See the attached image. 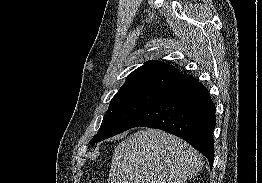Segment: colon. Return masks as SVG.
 Listing matches in <instances>:
<instances>
[{"instance_id": "5ec220e1", "label": "colon", "mask_w": 262, "mask_h": 183, "mask_svg": "<svg viewBox=\"0 0 262 183\" xmlns=\"http://www.w3.org/2000/svg\"><path fill=\"white\" fill-rule=\"evenodd\" d=\"M90 183H98V182L92 181V182H90Z\"/></svg>"}]
</instances>
